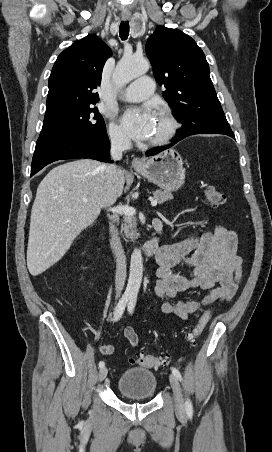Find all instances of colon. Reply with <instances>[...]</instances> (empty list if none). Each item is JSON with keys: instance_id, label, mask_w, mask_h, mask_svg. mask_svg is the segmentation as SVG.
Returning <instances> with one entry per match:
<instances>
[{"instance_id": "1", "label": "colon", "mask_w": 272, "mask_h": 452, "mask_svg": "<svg viewBox=\"0 0 272 452\" xmlns=\"http://www.w3.org/2000/svg\"><path fill=\"white\" fill-rule=\"evenodd\" d=\"M205 200L208 206L211 208H221L227 203L226 195L218 190L213 185H208L205 187ZM210 310H205L201 313L196 326L188 334V339L190 342L195 343L197 339L201 336L210 318ZM130 363L133 365L144 366L149 368H156L165 366L169 363L168 357H157L154 355H138L131 357L129 359Z\"/></svg>"}]
</instances>
